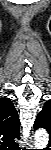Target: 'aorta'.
Wrapping results in <instances>:
<instances>
[{
    "label": "aorta",
    "instance_id": "aorta-1",
    "mask_svg": "<svg viewBox=\"0 0 51 150\" xmlns=\"http://www.w3.org/2000/svg\"><path fill=\"white\" fill-rule=\"evenodd\" d=\"M48 133L44 129H39L34 135V146L36 148L42 149L48 144Z\"/></svg>",
    "mask_w": 51,
    "mask_h": 150
}]
</instances>
